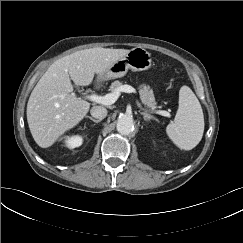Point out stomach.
<instances>
[{"label":"stomach","mask_w":243,"mask_h":243,"mask_svg":"<svg viewBox=\"0 0 243 243\" xmlns=\"http://www.w3.org/2000/svg\"><path fill=\"white\" fill-rule=\"evenodd\" d=\"M151 54L144 48L135 47L121 59L113 63L100 77L111 80L123 77L129 69L133 71L147 70L152 66Z\"/></svg>","instance_id":"0dacf381"}]
</instances>
